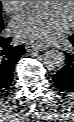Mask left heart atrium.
<instances>
[{
    "mask_svg": "<svg viewBox=\"0 0 74 122\" xmlns=\"http://www.w3.org/2000/svg\"><path fill=\"white\" fill-rule=\"evenodd\" d=\"M70 26L59 7L28 10L18 15L11 29L19 42L44 45L64 34Z\"/></svg>",
    "mask_w": 74,
    "mask_h": 122,
    "instance_id": "obj_1",
    "label": "left heart atrium"
}]
</instances>
